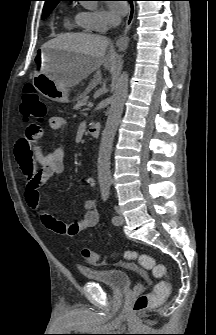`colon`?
<instances>
[{"mask_svg":"<svg viewBox=\"0 0 216 335\" xmlns=\"http://www.w3.org/2000/svg\"><path fill=\"white\" fill-rule=\"evenodd\" d=\"M21 113L24 118L34 119L38 122L42 121L46 116V106L36 90L31 86H27L23 90ZM81 255L85 262L91 265L99 264L100 260L97 252L90 249H83ZM125 259L136 262L142 269L149 271L153 277L160 279L152 292L137 297L132 306L134 312L147 310L169 297L171 293V284L166 278V269L163 265L156 263L154 258L148 254L137 253L132 250L125 253Z\"/></svg>","mask_w":216,"mask_h":335,"instance_id":"5ec220e1","label":"colon"}]
</instances>
